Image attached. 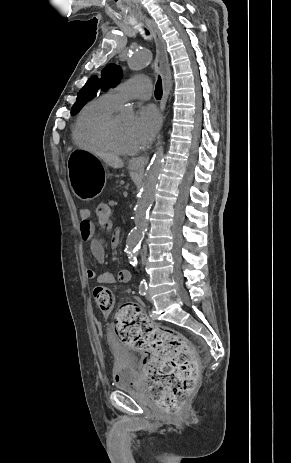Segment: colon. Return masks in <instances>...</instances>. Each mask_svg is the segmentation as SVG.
<instances>
[{"label":"colon","instance_id":"obj_1","mask_svg":"<svg viewBox=\"0 0 291 463\" xmlns=\"http://www.w3.org/2000/svg\"><path fill=\"white\" fill-rule=\"evenodd\" d=\"M112 203L98 202L93 217L98 226H111ZM96 306L109 312L114 308V295L104 286L94 289ZM120 340L144 354L142 374L155 401L171 414L177 415L193 392L198 365L186 338L172 329L158 328L140 310L131 305L118 308L114 319Z\"/></svg>","mask_w":291,"mask_h":463}]
</instances>
